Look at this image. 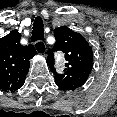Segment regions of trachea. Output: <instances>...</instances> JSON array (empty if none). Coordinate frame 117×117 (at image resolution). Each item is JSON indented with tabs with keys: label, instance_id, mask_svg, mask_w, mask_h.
Masks as SVG:
<instances>
[{
	"label": "trachea",
	"instance_id": "trachea-1",
	"mask_svg": "<svg viewBox=\"0 0 117 117\" xmlns=\"http://www.w3.org/2000/svg\"><path fill=\"white\" fill-rule=\"evenodd\" d=\"M44 38V29H43V23L40 19H36L33 24V31L31 40L32 42L41 41ZM38 45L36 44V48L38 50Z\"/></svg>",
	"mask_w": 117,
	"mask_h": 117
}]
</instances>
